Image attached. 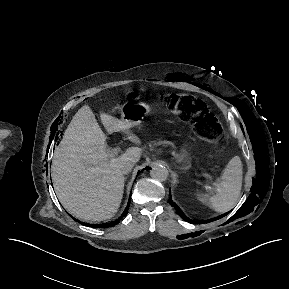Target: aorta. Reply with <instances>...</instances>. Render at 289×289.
Returning a JSON list of instances; mask_svg holds the SVG:
<instances>
[{"label":"aorta","mask_w":289,"mask_h":289,"mask_svg":"<svg viewBox=\"0 0 289 289\" xmlns=\"http://www.w3.org/2000/svg\"><path fill=\"white\" fill-rule=\"evenodd\" d=\"M168 175L169 172L167 168L163 165H156L150 170V176L156 181L163 182L167 180Z\"/></svg>","instance_id":"762f6f07"}]
</instances>
